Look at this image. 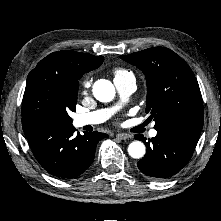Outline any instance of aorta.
Returning <instances> with one entry per match:
<instances>
[{"instance_id": "1", "label": "aorta", "mask_w": 221, "mask_h": 221, "mask_svg": "<svg viewBox=\"0 0 221 221\" xmlns=\"http://www.w3.org/2000/svg\"><path fill=\"white\" fill-rule=\"evenodd\" d=\"M93 95L100 102H110L115 97L114 85L105 79L97 80L93 85ZM145 152V145L140 141H134L128 146V153L132 158H142Z\"/></svg>"}]
</instances>
